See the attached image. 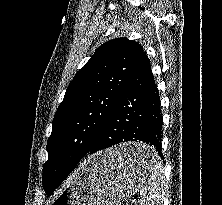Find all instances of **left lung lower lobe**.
Returning <instances> with one entry per match:
<instances>
[{"mask_svg":"<svg viewBox=\"0 0 222 205\" xmlns=\"http://www.w3.org/2000/svg\"><path fill=\"white\" fill-rule=\"evenodd\" d=\"M162 124L158 90L149 59L144 53L126 87L107 115L105 124L88 153L77 155L67 152L56 161L61 178L55 188L67 178L84 156L121 142L142 141L153 146V152L137 150L128 153L124 157V161L131 165L151 164L155 150L163 158L161 152ZM53 191L48 195L50 196Z\"/></svg>","mask_w":222,"mask_h":205,"instance_id":"0a47b994","label":"left lung lower lobe"}]
</instances>
